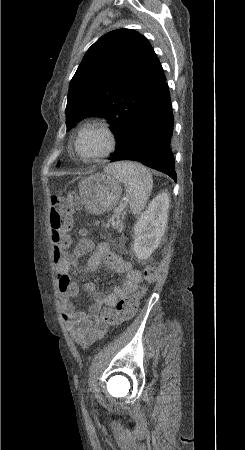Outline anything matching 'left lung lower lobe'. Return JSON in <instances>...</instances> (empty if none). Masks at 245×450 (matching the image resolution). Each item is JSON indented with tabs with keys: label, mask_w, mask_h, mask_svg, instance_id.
Returning a JSON list of instances; mask_svg holds the SVG:
<instances>
[{
	"label": "left lung lower lobe",
	"mask_w": 245,
	"mask_h": 450,
	"mask_svg": "<svg viewBox=\"0 0 245 450\" xmlns=\"http://www.w3.org/2000/svg\"><path fill=\"white\" fill-rule=\"evenodd\" d=\"M174 116L168 84L165 80L159 91L143 108L124 146L108 159L135 160L169 175L177 176L172 152Z\"/></svg>",
	"instance_id": "1"
}]
</instances>
